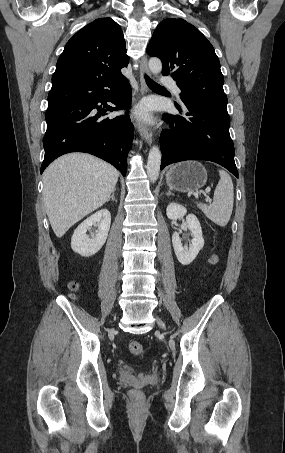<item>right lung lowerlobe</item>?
Listing matches in <instances>:
<instances>
[{
    "mask_svg": "<svg viewBox=\"0 0 285 453\" xmlns=\"http://www.w3.org/2000/svg\"><path fill=\"white\" fill-rule=\"evenodd\" d=\"M111 101L103 113L97 103ZM131 87L125 76L113 80L87 82L64 80L52 83L46 110L47 130L43 139L45 156L41 173L57 157L70 152H86L115 166L123 176L126 158L134 137L128 115L100 118L107 111L128 109Z\"/></svg>",
    "mask_w": 285,
    "mask_h": 453,
    "instance_id": "1",
    "label": "right lung lower lobe"
}]
</instances>
